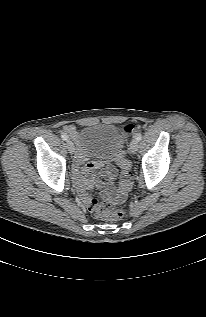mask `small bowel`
<instances>
[{"mask_svg": "<svg viewBox=\"0 0 206 317\" xmlns=\"http://www.w3.org/2000/svg\"><path fill=\"white\" fill-rule=\"evenodd\" d=\"M65 132L72 138H78L77 130L74 126L69 125L65 127ZM99 164L96 162L88 161V154L85 150L80 149L75 157L73 164V172L75 177V185L78 194L82 202L89 208L91 202L94 200L88 193L94 185L99 187L103 186L102 181L98 180L94 176V171L98 168ZM107 175L112 178L115 175V170L111 167H107ZM131 186L130 172L122 173V180L117 191L110 184L106 189L107 196H113L117 201H122L127 191Z\"/></svg>", "mask_w": 206, "mask_h": 317, "instance_id": "obj_1", "label": "small bowel"}]
</instances>
